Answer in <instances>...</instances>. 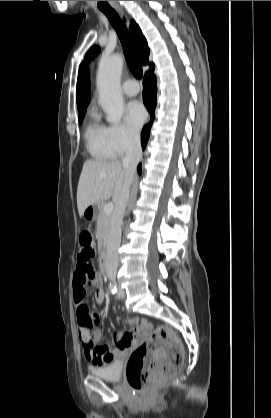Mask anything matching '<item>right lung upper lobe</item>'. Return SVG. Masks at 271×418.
<instances>
[{"label":"right lung upper lobe","instance_id":"1","mask_svg":"<svg viewBox=\"0 0 271 418\" xmlns=\"http://www.w3.org/2000/svg\"><path fill=\"white\" fill-rule=\"evenodd\" d=\"M129 30L135 42L139 61L144 65L149 64L150 68L154 67V64L148 61L150 50L147 41L135 21H131ZM89 91V71L81 64L77 79V108L79 115L85 114L86 107L90 101Z\"/></svg>","mask_w":271,"mask_h":418}]
</instances>
